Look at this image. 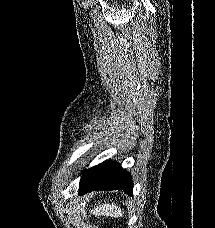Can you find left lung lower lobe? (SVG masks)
<instances>
[{
	"mask_svg": "<svg viewBox=\"0 0 215 228\" xmlns=\"http://www.w3.org/2000/svg\"><path fill=\"white\" fill-rule=\"evenodd\" d=\"M130 174L114 161H104L85 170L79 184V195L96 190H123L132 196L133 189Z\"/></svg>",
	"mask_w": 215,
	"mask_h": 228,
	"instance_id": "0a47b994",
	"label": "left lung lower lobe"
}]
</instances>
